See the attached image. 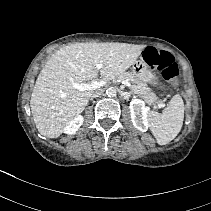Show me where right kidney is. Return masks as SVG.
Returning a JSON list of instances; mask_svg holds the SVG:
<instances>
[{
	"label": "right kidney",
	"mask_w": 211,
	"mask_h": 211,
	"mask_svg": "<svg viewBox=\"0 0 211 211\" xmlns=\"http://www.w3.org/2000/svg\"><path fill=\"white\" fill-rule=\"evenodd\" d=\"M83 117L81 115L75 117L69 124L65 127L64 133L71 135L74 134L82 125Z\"/></svg>",
	"instance_id": "obj_1"
}]
</instances>
